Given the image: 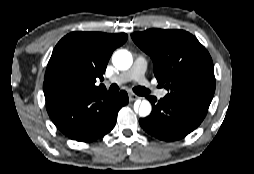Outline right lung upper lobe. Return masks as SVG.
<instances>
[{
  "label": "right lung upper lobe",
  "instance_id": "right-lung-upper-lobe-1",
  "mask_svg": "<svg viewBox=\"0 0 254 174\" xmlns=\"http://www.w3.org/2000/svg\"><path fill=\"white\" fill-rule=\"evenodd\" d=\"M125 33L71 32L55 46L48 62L43 83L46 101L53 100L63 85H72L81 92L106 91L96 86L97 78L103 79L112 52L123 45Z\"/></svg>",
  "mask_w": 254,
  "mask_h": 174
}]
</instances>
